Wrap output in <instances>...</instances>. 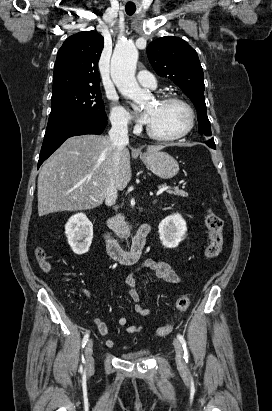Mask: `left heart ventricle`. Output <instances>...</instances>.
I'll return each mask as SVG.
<instances>
[{
    "instance_id": "1",
    "label": "left heart ventricle",
    "mask_w": 272,
    "mask_h": 411,
    "mask_svg": "<svg viewBox=\"0 0 272 411\" xmlns=\"http://www.w3.org/2000/svg\"><path fill=\"white\" fill-rule=\"evenodd\" d=\"M146 110L150 113L148 125L157 134L172 136L182 132L188 125L187 110L178 103L150 101Z\"/></svg>"
}]
</instances>
